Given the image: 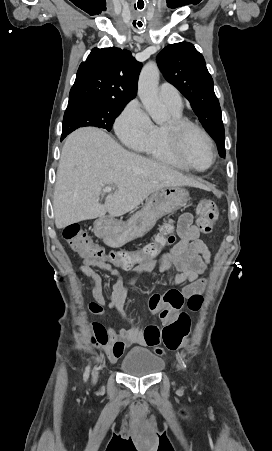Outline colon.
<instances>
[{
	"mask_svg": "<svg viewBox=\"0 0 272 451\" xmlns=\"http://www.w3.org/2000/svg\"><path fill=\"white\" fill-rule=\"evenodd\" d=\"M201 207L204 215L198 220L197 227L201 232L210 234L213 231L215 220L218 217L216 204L213 200L206 198L203 200ZM156 236L161 238L163 233L158 231ZM62 237L72 249L78 250L79 256H92L93 244L91 241H87V234L79 224L72 222L66 225L62 232ZM164 244H160L159 241H151L142 251L133 253L127 251L111 252L110 249L96 247L94 254L101 258H111L117 266L131 267L142 261L155 260L159 256ZM93 263V260L90 258L84 259L80 267L82 269L85 266L90 267ZM203 305L204 300L202 298L187 299V306L189 307L190 313H201ZM189 322V316L186 313H181L177 318L164 324V326L147 327V348H157L161 355L164 354V350L175 352L179 349L183 338L189 332ZM89 339L94 345L106 346L108 343V331L105 324L99 321H93L89 327Z\"/></svg>",
	"mask_w": 272,
	"mask_h": 451,
	"instance_id": "5ec220e1",
	"label": "colon"
}]
</instances>
